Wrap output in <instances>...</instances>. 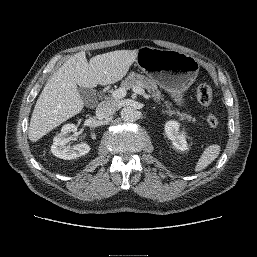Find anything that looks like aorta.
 <instances>
[{
    "label": "aorta",
    "instance_id": "aorta-1",
    "mask_svg": "<svg viewBox=\"0 0 257 257\" xmlns=\"http://www.w3.org/2000/svg\"><path fill=\"white\" fill-rule=\"evenodd\" d=\"M121 118L125 122H134L138 118V112L133 107H124L121 110Z\"/></svg>",
    "mask_w": 257,
    "mask_h": 257
}]
</instances>
